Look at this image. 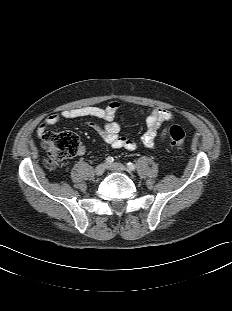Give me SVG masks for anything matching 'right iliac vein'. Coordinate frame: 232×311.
<instances>
[{"mask_svg": "<svg viewBox=\"0 0 232 311\" xmlns=\"http://www.w3.org/2000/svg\"><path fill=\"white\" fill-rule=\"evenodd\" d=\"M106 170V164H99L96 168H95V174L97 176H101L103 175V173Z\"/></svg>", "mask_w": 232, "mask_h": 311, "instance_id": "63e3f726", "label": "right iliac vein"}]
</instances>
